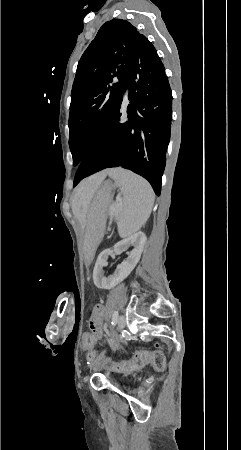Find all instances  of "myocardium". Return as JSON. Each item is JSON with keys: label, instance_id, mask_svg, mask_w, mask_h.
<instances>
[{"label": "myocardium", "instance_id": "f54148a6", "mask_svg": "<svg viewBox=\"0 0 241 450\" xmlns=\"http://www.w3.org/2000/svg\"><path fill=\"white\" fill-rule=\"evenodd\" d=\"M92 133H96V132H92ZM95 140H97V139H95V137H88V142H95Z\"/></svg>", "mask_w": 241, "mask_h": 450}]
</instances>
